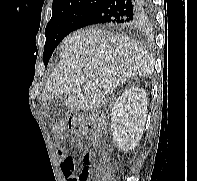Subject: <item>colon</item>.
Segmentation results:
<instances>
[{"instance_id":"obj_1","label":"colon","mask_w":197,"mask_h":181,"mask_svg":"<svg viewBox=\"0 0 197 181\" xmlns=\"http://www.w3.org/2000/svg\"><path fill=\"white\" fill-rule=\"evenodd\" d=\"M73 131L79 135L94 137L97 132V126L94 119H86L78 116L73 122ZM54 133L61 138L63 127L56 125L53 127ZM113 173L110 169L97 163L90 155H84L83 168L79 174L77 181H112Z\"/></svg>"}]
</instances>
